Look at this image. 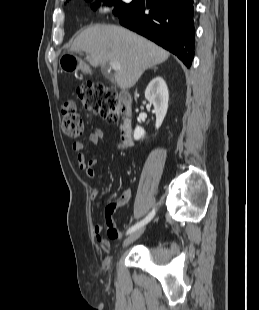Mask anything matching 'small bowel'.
<instances>
[{"label":"small bowel","mask_w":259,"mask_h":310,"mask_svg":"<svg viewBox=\"0 0 259 310\" xmlns=\"http://www.w3.org/2000/svg\"><path fill=\"white\" fill-rule=\"evenodd\" d=\"M104 137V132L102 129H95L92 133H90L88 140L93 145H98ZM72 149L77 155V165L80 169H82L86 176L90 179H94L96 176L95 167H96V159L87 158L84 153V146L80 143H73ZM91 196L93 199L99 196V189L94 187L91 192ZM130 197V192L127 191L119 200L118 204H115L113 209H110L109 206L105 209V223L108 228V237L111 239H118L123 234L122 231H119L114 223L113 214L116 210L117 206L124 204ZM104 229V224L102 222L95 223L93 225V233L97 242L104 247L109 246V241L102 235Z\"/></svg>","instance_id":"c3829d8e"}]
</instances>
